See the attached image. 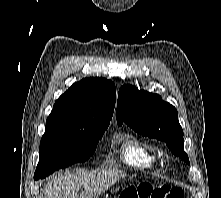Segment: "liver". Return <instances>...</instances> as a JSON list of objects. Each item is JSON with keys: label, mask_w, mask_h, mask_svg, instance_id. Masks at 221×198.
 <instances>
[{"label": "liver", "mask_w": 221, "mask_h": 198, "mask_svg": "<svg viewBox=\"0 0 221 198\" xmlns=\"http://www.w3.org/2000/svg\"><path fill=\"white\" fill-rule=\"evenodd\" d=\"M126 174L116 168L93 171L79 170L52 178L44 188V198H96ZM84 192L79 195V190Z\"/></svg>", "instance_id": "1"}]
</instances>
